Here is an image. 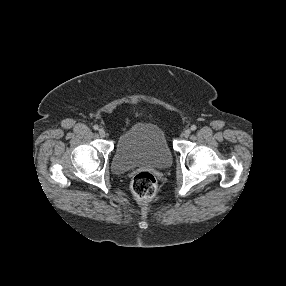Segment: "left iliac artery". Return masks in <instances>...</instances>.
I'll return each instance as SVG.
<instances>
[{"label": "left iliac artery", "instance_id": "44dca946", "mask_svg": "<svg viewBox=\"0 0 286 286\" xmlns=\"http://www.w3.org/2000/svg\"><path fill=\"white\" fill-rule=\"evenodd\" d=\"M196 129H197L196 125H192V126H191V130H192V131H195Z\"/></svg>", "mask_w": 286, "mask_h": 286}]
</instances>
